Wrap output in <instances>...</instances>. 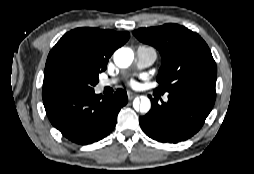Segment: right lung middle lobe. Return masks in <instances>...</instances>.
I'll return each mask as SVG.
<instances>
[{"mask_svg": "<svg viewBox=\"0 0 254 174\" xmlns=\"http://www.w3.org/2000/svg\"><path fill=\"white\" fill-rule=\"evenodd\" d=\"M98 81V72L71 62H59L44 74L42 98L44 101L65 94L92 91Z\"/></svg>", "mask_w": 254, "mask_h": 174, "instance_id": "obj_1", "label": "right lung middle lobe"}]
</instances>
